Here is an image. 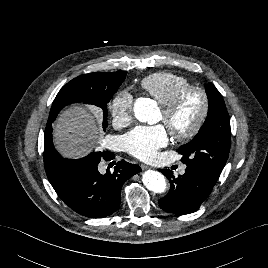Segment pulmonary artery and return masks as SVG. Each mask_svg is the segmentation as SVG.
<instances>
[{"label":"pulmonary artery","instance_id":"e3ab8cb5","mask_svg":"<svg viewBox=\"0 0 268 268\" xmlns=\"http://www.w3.org/2000/svg\"><path fill=\"white\" fill-rule=\"evenodd\" d=\"M180 172L184 173L185 172V167L181 168Z\"/></svg>","mask_w":268,"mask_h":268}]
</instances>
